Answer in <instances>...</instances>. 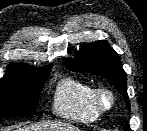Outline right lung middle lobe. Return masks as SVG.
<instances>
[{
	"label": "right lung middle lobe",
	"instance_id": "1",
	"mask_svg": "<svg viewBox=\"0 0 147 131\" xmlns=\"http://www.w3.org/2000/svg\"><path fill=\"white\" fill-rule=\"evenodd\" d=\"M50 70L43 74L4 75L0 79V123L10 114L33 113Z\"/></svg>",
	"mask_w": 147,
	"mask_h": 131
}]
</instances>
